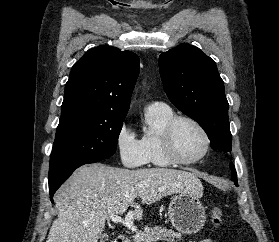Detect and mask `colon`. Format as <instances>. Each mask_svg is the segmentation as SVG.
Masks as SVG:
<instances>
[{
    "label": "colon",
    "instance_id": "1",
    "mask_svg": "<svg viewBox=\"0 0 279 242\" xmlns=\"http://www.w3.org/2000/svg\"><path fill=\"white\" fill-rule=\"evenodd\" d=\"M211 222L215 226H220L223 222V211L220 207H213L210 212Z\"/></svg>",
    "mask_w": 279,
    "mask_h": 242
}]
</instances>
